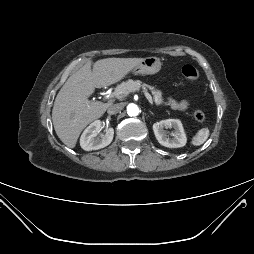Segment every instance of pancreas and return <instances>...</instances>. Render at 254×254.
Here are the masks:
<instances>
[{
  "label": "pancreas",
  "instance_id": "obj_1",
  "mask_svg": "<svg viewBox=\"0 0 254 254\" xmlns=\"http://www.w3.org/2000/svg\"><path fill=\"white\" fill-rule=\"evenodd\" d=\"M141 88L146 91L149 89L152 95L157 99L158 105L164 102L162 90L157 89L154 86L142 83L140 80L129 79L126 82H122L121 84L117 85V87L115 88V93L120 92V95L118 96V98L122 99L126 97L129 93L135 92Z\"/></svg>",
  "mask_w": 254,
  "mask_h": 254
}]
</instances>
